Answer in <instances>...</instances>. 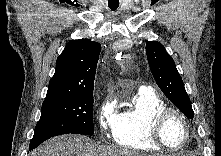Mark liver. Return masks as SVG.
I'll return each instance as SVG.
<instances>
[{
	"mask_svg": "<svg viewBox=\"0 0 221 156\" xmlns=\"http://www.w3.org/2000/svg\"><path fill=\"white\" fill-rule=\"evenodd\" d=\"M31 156H147L134 150L116 146H103L89 138L68 134L52 138L37 149Z\"/></svg>",
	"mask_w": 221,
	"mask_h": 156,
	"instance_id": "1",
	"label": "liver"
}]
</instances>
